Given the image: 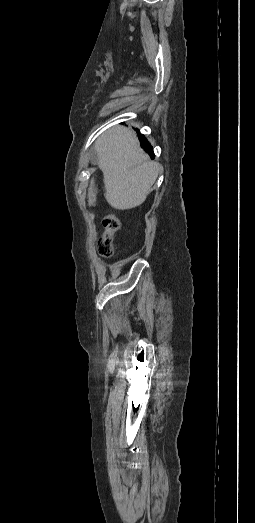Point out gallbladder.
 I'll list each match as a JSON object with an SVG mask.
<instances>
[{"label": "gallbladder", "instance_id": "1", "mask_svg": "<svg viewBox=\"0 0 255 523\" xmlns=\"http://www.w3.org/2000/svg\"><path fill=\"white\" fill-rule=\"evenodd\" d=\"M99 158H98V152L96 150H92L91 152V164H98Z\"/></svg>", "mask_w": 255, "mask_h": 523}]
</instances>
